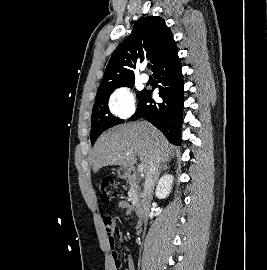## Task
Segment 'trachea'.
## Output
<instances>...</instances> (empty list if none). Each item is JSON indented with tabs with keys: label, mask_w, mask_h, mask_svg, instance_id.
I'll return each instance as SVG.
<instances>
[{
	"label": "trachea",
	"mask_w": 267,
	"mask_h": 270,
	"mask_svg": "<svg viewBox=\"0 0 267 270\" xmlns=\"http://www.w3.org/2000/svg\"><path fill=\"white\" fill-rule=\"evenodd\" d=\"M147 68H149V69H150V68H151V64H148V65H147Z\"/></svg>",
	"instance_id": "3493384b"
}]
</instances>
